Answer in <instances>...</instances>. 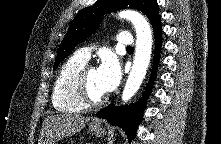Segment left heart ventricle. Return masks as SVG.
<instances>
[{
    "label": "left heart ventricle",
    "mask_w": 221,
    "mask_h": 144,
    "mask_svg": "<svg viewBox=\"0 0 221 144\" xmlns=\"http://www.w3.org/2000/svg\"><path fill=\"white\" fill-rule=\"evenodd\" d=\"M88 86L90 93L94 97L103 95L105 92L101 89L98 82V71L97 69H91L88 73Z\"/></svg>",
    "instance_id": "left-heart-ventricle-1"
}]
</instances>
